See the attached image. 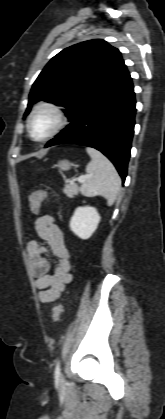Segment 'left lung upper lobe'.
<instances>
[{
  "label": "left lung upper lobe",
  "instance_id": "left-lung-upper-lobe-1",
  "mask_svg": "<svg viewBox=\"0 0 165 419\" xmlns=\"http://www.w3.org/2000/svg\"><path fill=\"white\" fill-rule=\"evenodd\" d=\"M126 69L118 49L95 39L70 46L54 56L34 82L28 107L39 100L66 108L70 119L84 102Z\"/></svg>",
  "mask_w": 165,
  "mask_h": 419
}]
</instances>
